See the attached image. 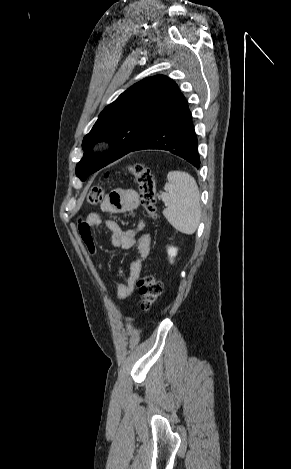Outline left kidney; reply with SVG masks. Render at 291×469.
Returning a JSON list of instances; mask_svg holds the SVG:
<instances>
[{"instance_id":"5707ae66","label":"left kidney","mask_w":291,"mask_h":469,"mask_svg":"<svg viewBox=\"0 0 291 469\" xmlns=\"http://www.w3.org/2000/svg\"><path fill=\"white\" fill-rule=\"evenodd\" d=\"M177 251H178V249L173 247V246L168 248L167 252H168V256H169V259H170L171 263H173V259L177 255Z\"/></svg>"}]
</instances>
